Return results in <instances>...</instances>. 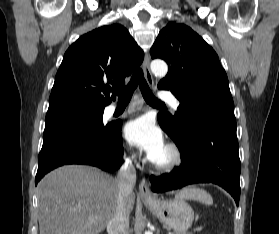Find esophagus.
<instances>
[{
  "label": "esophagus",
  "mask_w": 279,
  "mask_h": 234,
  "mask_svg": "<svg viewBox=\"0 0 279 234\" xmlns=\"http://www.w3.org/2000/svg\"><path fill=\"white\" fill-rule=\"evenodd\" d=\"M143 70H144V76L148 84L151 87H153L154 81H153L152 73L150 71V57L148 53H146L144 57ZM139 195L142 199H146V200H153L155 198L145 179H143L139 185Z\"/></svg>",
  "instance_id": "34e87169"
}]
</instances>
